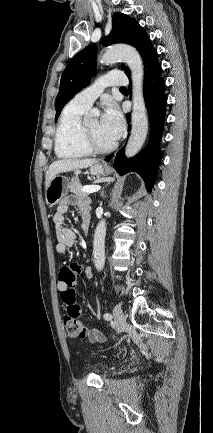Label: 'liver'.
<instances>
[{
    "label": "liver",
    "instance_id": "6515ba94",
    "mask_svg": "<svg viewBox=\"0 0 213 433\" xmlns=\"http://www.w3.org/2000/svg\"><path fill=\"white\" fill-rule=\"evenodd\" d=\"M95 163H97L96 159H62L55 161L46 172L45 188L48 187L51 180L56 177L57 174L87 168Z\"/></svg>",
    "mask_w": 213,
    "mask_h": 433
}]
</instances>
